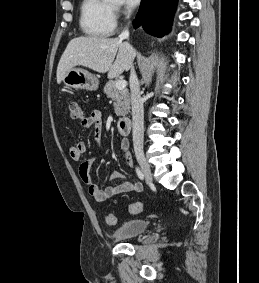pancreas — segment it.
I'll use <instances>...</instances> for the list:
<instances>
[{"instance_id": "1", "label": "pancreas", "mask_w": 259, "mask_h": 283, "mask_svg": "<svg viewBox=\"0 0 259 283\" xmlns=\"http://www.w3.org/2000/svg\"><path fill=\"white\" fill-rule=\"evenodd\" d=\"M104 93L114 101L115 114L125 116L130 110V99L128 89H117L116 81H108L104 87Z\"/></svg>"}]
</instances>
